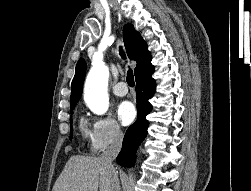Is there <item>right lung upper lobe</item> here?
Segmentation results:
<instances>
[{
  "instance_id": "obj_1",
  "label": "right lung upper lobe",
  "mask_w": 251,
  "mask_h": 191,
  "mask_svg": "<svg viewBox=\"0 0 251 191\" xmlns=\"http://www.w3.org/2000/svg\"><path fill=\"white\" fill-rule=\"evenodd\" d=\"M123 40L129 58L137 61V66L134 70L136 82L150 78L154 72V66L151 64V54L147 51L145 41L132 24L124 26ZM85 74L86 63L83 59H80L76 65L75 75L71 84L70 106L76 105L81 98Z\"/></svg>"
}]
</instances>
